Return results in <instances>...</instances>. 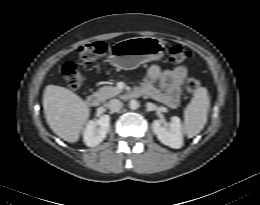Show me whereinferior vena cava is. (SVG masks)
I'll use <instances>...</instances> for the list:
<instances>
[{
    "label": "inferior vena cava",
    "mask_w": 260,
    "mask_h": 205,
    "mask_svg": "<svg viewBox=\"0 0 260 205\" xmlns=\"http://www.w3.org/2000/svg\"><path fill=\"white\" fill-rule=\"evenodd\" d=\"M122 106H123L122 102L118 99H112L108 103V108L113 112L119 111L122 108Z\"/></svg>",
    "instance_id": "obj_1"
}]
</instances>
